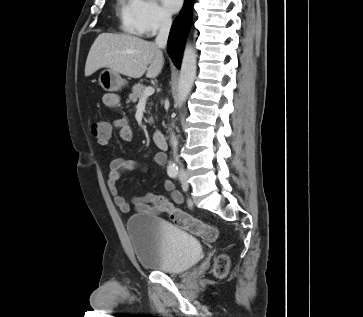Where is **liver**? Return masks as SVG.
Instances as JSON below:
<instances>
[{
    "label": "liver",
    "mask_w": 363,
    "mask_h": 317,
    "mask_svg": "<svg viewBox=\"0 0 363 317\" xmlns=\"http://www.w3.org/2000/svg\"><path fill=\"white\" fill-rule=\"evenodd\" d=\"M164 65L161 49L153 42L125 34L101 33L89 51L85 76L100 68H109L122 75L140 78L157 77Z\"/></svg>",
    "instance_id": "obj_1"
}]
</instances>
